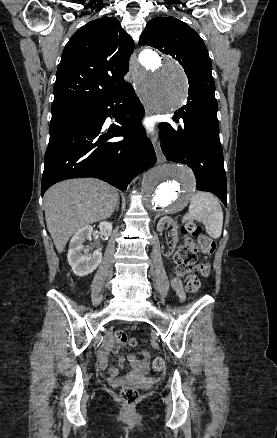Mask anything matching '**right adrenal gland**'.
<instances>
[{
  "instance_id": "right-adrenal-gland-1",
  "label": "right adrenal gland",
  "mask_w": 277,
  "mask_h": 438,
  "mask_svg": "<svg viewBox=\"0 0 277 438\" xmlns=\"http://www.w3.org/2000/svg\"><path fill=\"white\" fill-rule=\"evenodd\" d=\"M119 206H120V204H119V202H117L116 212H119Z\"/></svg>"
}]
</instances>
